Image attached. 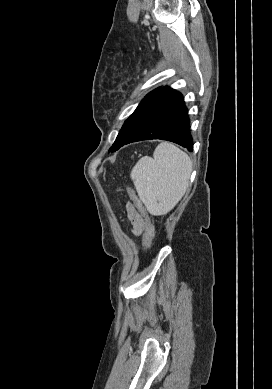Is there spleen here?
I'll use <instances>...</instances> for the list:
<instances>
[{"label":"spleen","instance_id":"1","mask_svg":"<svg viewBox=\"0 0 272 389\" xmlns=\"http://www.w3.org/2000/svg\"><path fill=\"white\" fill-rule=\"evenodd\" d=\"M186 153L168 142L160 143L153 158L144 156L133 167L130 177L150 214L171 211L183 197L191 174Z\"/></svg>","mask_w":272,"mask_h":389}]
</instances>
